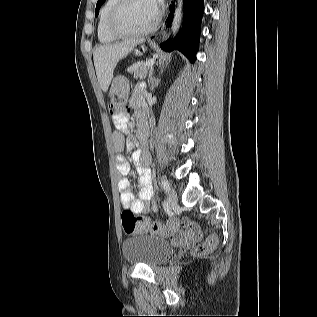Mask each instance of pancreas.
Wrapping results in <instances>:
<instances>
[{"label":"pancreas","mask_w":317,"mask_h":317,"mask_svg":"<svg viewBox=\"0 0 317 317\" xmlns=\"http://www.w3.org/2000/svg\"><path fill=\"white\" fill-rule=\"evenodd\" d=\"M147 63H141L140 61H135L133 67H130L128 71L133 74L135 79H144L150 67Z\"/></svg>","instance_id":"obj_1"}]
</instances>
